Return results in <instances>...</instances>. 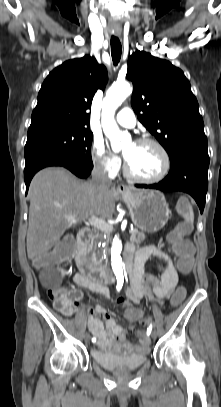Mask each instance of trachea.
<instances>
[{"mask_svg":"<svg viewBox=\"0 0 221 407\" xmlns=\"http://www.w3.org/2000/svg\"><path fill=\"white\" fill-rule=\"evenodd\" d=\"M110 44H111V55H112L113 64L116 66V65H118L120 58H121L122 46H121L120 40L115 36L111 37Z\"/></svg>","mask_w":221,"mask_h":407,"instance_id":"1","label":"trachea"}]
</instances>
